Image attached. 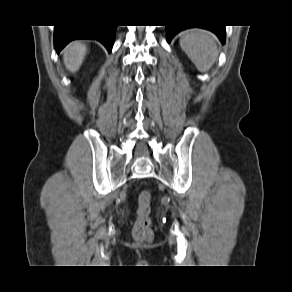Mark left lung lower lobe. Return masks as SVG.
<instances>
[{"mask_svg": "<svg viewBox=\"0 0 292 292\" xmlns=\"http://www.w3.org/2000/svg\"><path fill=\"white\" fill-rule=\"evenodd\" d=\"M167 27V41L170 42L171 39L177 34L179 31L183 29H187L190 27H201L206 28L212 32H214L222 43L225 42V26H192V25H169Z\"/></svg>", "mask_w": 292, "mask_h": 292, "instance_id": "left-lung-lower-lobe-1", "label": "left lung lower lobe"}]
</instances>
